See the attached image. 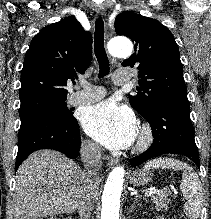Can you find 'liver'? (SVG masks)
<instances>
[{"label": "liver", "instance_id": "1", "mask_svg": "<svg viewBox=\"0 0 211 219\" xmlns=\"http://www.w3.org/2000/svg\"><path fill=\"white\" fill-rule=\"evenodd\" d=\"M84 185V171L74 161L54 150L34 152L16 173L14 219L70 214L77 207ZM97 198L98 186L94 190V200Z\"/></svg>", "mask_w": 211, "mask_h": 219}]
</instances>
